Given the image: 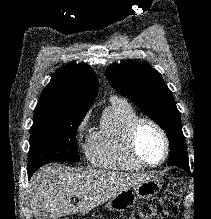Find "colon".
<instances>
[{"label": "colon", "mask_w": 211, "mask_h": 219, "mask_svg": "<svg viewBox=\"0 0 211 219\" xmlns=\"http://www.w3.org/2000/svg\"><path fill=\"white\" fill-rule=\"evenodd\" d=\"M183 184L180 179L169 182L164 193L144 203L136 212L125 219H165L178 214Z\"/></svg>", "instance_id": "5ec220e1"}]
</instances>
